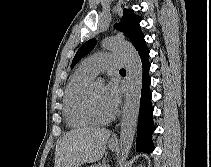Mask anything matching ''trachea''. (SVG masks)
<instances>
[{"instance_id":"trachea-1","label":"trachea","mask_w":211,"mask_h":167,"mask_svg":"<svg viewBox=\"0 0 211 167\" xmlns=\"http://www.w3.org/2000/svg\"><path fill=\"white\" fill-rule=\"evenodd\" d=\"M120 71H125V69H121Z\"/></svg>"}]
</instances>
